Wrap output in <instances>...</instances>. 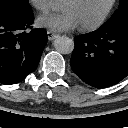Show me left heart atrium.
<instances>
[{"mask_svg":"<svg viewBox=\"0 0 128 128\" xmlns=\"http://www.w3.org/2000/svg\"><path fill=\"white\" fill-rule=\"evenodd\" d=\"M36 22L39 27L56 32L69 31L79 25L77 19L70 11L44 14L39 16Z\"/></svg>","mask_w":128,"mask_h":128,"instance_id":"obj_1","label":"left heart atrium"}]
</instances>
